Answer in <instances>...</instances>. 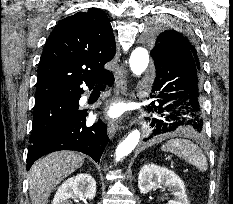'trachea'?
<instances>
[{
	"label": "trachea",
	"instance_id": "trachea-1",
	"mask_svg": "<svg viewBox=\"0 0 233 204\" xmlns=\"http://www.w3.org/2000/svg\"><path fill=\"white\" fill-rule=\"evenodd\" d=\"M95 88L96 89H103V88H105V86L100 84V85H97Z\"/></svg>",
	"mask_w": 233,
	"mask_h": 204
}]
</instances>
